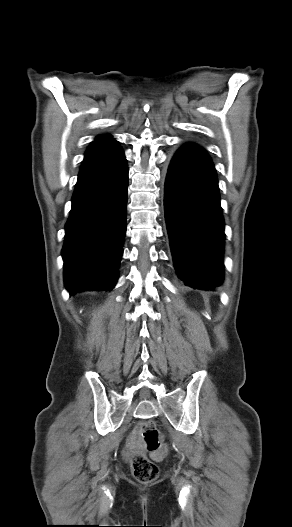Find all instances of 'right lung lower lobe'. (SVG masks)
<instances>
[{"instance_id":"right-lung-lower-lobe-1","label":"right lung lower lobe","mask_w":292,"mask_h":527,"mask_svg":"<svg viewBox=\"0 0 292 527\" xmlns=\"http://www.w3.org/2000/svg\"><path fill=\"white\" fill-rule=\"evenodd\" d=\"M127 190V161L117 141L92 142L65 226L62 256L70 295L115 286L126 233Z\"/></svg>"}]
</instances>
